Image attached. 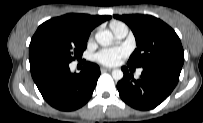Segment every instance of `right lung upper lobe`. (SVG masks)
Listing matches in <instances>:
<instances>
[{
  "mask_svg": "<svg viewBox=\"0 0 203 123\" xmlns=\"http://www.w3.org/2000/svg\"><path fill=\"white\" fill-rule=\"evenodd\" d=\"M59 18L69 20L78 25L82 30L90 34V32L99 24L111 18V16H91L88 14H66Z\"/></svg>",
  "mask_w": 203,
  "mask_h": 123,
  "instance_id": "right-lung-upper-lobe-1",
  "label": "right lung upper lobe"
}]
</instances>
